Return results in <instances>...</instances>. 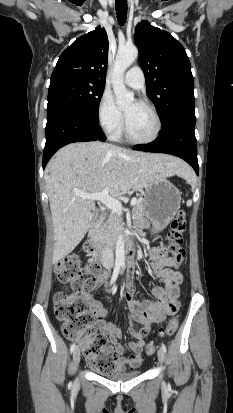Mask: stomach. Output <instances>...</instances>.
<instances>
[{"label": "stomach", "mask_w": 233, "mask_h": 413, "mask_svg": "<svg viewBox=\"0 0 233 413\" xmlns=\"http://www.w3.org/2000/svg\"><path fill=\"white\" fill-rule=\"evenodd\" d=\"M145 214L156 231L163 230L177 214L180 191L166 178L156 179L145 187Z\"/></svg>", "instance_id": "stomach-1"}]
</instances>
